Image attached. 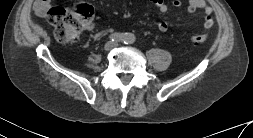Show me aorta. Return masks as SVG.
<instances>
[{"label":"aorta","instance_id":"762f6f07","mask_svg":"<svg viewBox=\"0 0 253 138\" xmlns=\"http://www.w3.org/2000/svg\"><path fill=\"white\" fill-rule=\"evenodd\" d=\"M130 38H131V41H133L135 39L134 35L133 34H129Z\"/></svg>","mask_w":253,"mask_h":138}]
</instances>
